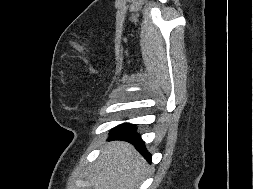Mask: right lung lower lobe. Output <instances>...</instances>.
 I'll use <instances>...</instances> for the list:
<instances>
[{
    "label": "right lung lower lobe",
    "mask_w": 253,
    "mask_h": 189,
    "mask_svg": "<svg viewBox=\"0 0 253 189\" xmlns=\"http://www.w3.org/2000/svg\"><path fill=\"white\" fill-rule=\"evenodd\" d=\"M110 139L125 140L132 143L135 148L151 162V155L145 149L144 143L140 136L135 133V127L132 124H122L114 128L110 133Z\"/></svg>",
    "instance_id": "1"
}]
</instances>
